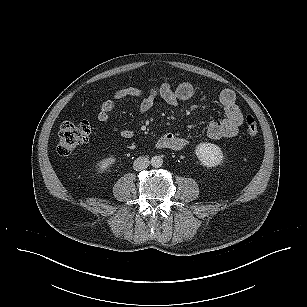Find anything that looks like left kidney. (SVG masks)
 I'll list each match as a JSON object with an SVG mask.
<instances>
[{
  "label": "left kidney",
  "instance_id": "left-kidney-1",
  "mask_svg": "<svg viewBox=\"0 0 307 307\" xmlns=\"http://www.w3.org/2000/svg\"><path fill=\"white\" fill-rule=\"evenodd\" d=\"M195 153L199 161L206 167L218 166L224 159L221 148L212 143L198 144Z\"/></svg>",
  "mask_w": 307,
  "mask_h": 307
}]
</instances>
